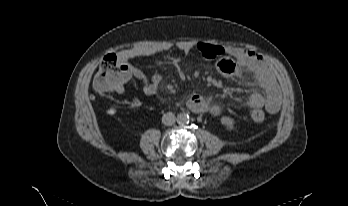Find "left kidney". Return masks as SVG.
<instances>
[{
	"label": "left kidney",
	"mask_w": 348,
	"mask_h": 206,
	"mask_svg": "<svg viewBox=\"0 0 348 206\" xmlns=\"http://www.w3.org/2000/svg\"><path fill=\"white\" fill-rule=\"evenodd\" d=\"M221 123L223 125H225L229 130H233L234 129L235 121L232 118H230V117L223 116L221 118Z\"/></svg>",
	"instance_id": "obj_1"
}]
</instances>
